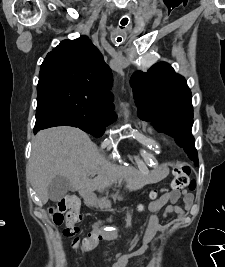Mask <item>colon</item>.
<instances>
[{"label":"colon","mask_w":225,"mask_h":267,"mask_svg":"<svg viewBox=\"0 0 225 267\" xmlns=\"http://www.w3.org/2000/svg\"><path fill=\"white\" fill-rule=\"evenodd\" d=\"M174 178L171 183L173 191H184L186 189H193L195 184L190 179V168L182 163H177L173 168ZM157 196L156 191L150 193V199H154ZM139 210L143 209L140 205ZM49 215L53 223L57 226L61 225L64 221L66 223L62 230L61 235L71 240L74 248L91 251L94 248L93 238L100 233L101 221L94 224V231L85 238H80L79 227L77 224L81 221L82 216L80 213V200L76 196H70L62 198L54 207L49 209ZM65 261L62 262L61 267H65Z\"/></svg>","instance_id":"colon-1"}]
</instances>
